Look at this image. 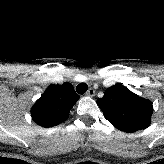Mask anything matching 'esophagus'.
<instances>
[{
  "label": "esophagus",
  "mask_w": 164,
  "mask_h": 164,
  "mask_svg": "<svg viewBox=\"0 0 164 164\" xmlns=\"http://www.w3.org/2000/svg\"><path fill=\"white\" fill-rule=\"evenodd\" d=\"M86 95L89 96V97H93L95 95V90L93 88H90L87 91Z\"/></svg>",
  "instance_id": "esophagus-1"
}]
</instances>
